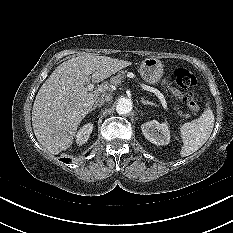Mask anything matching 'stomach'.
Here are the masks:
<instances>
[{"label": "stomach", "mask_w": 233, "mask_h": 233, "mask_svg": "<svg viewBox=\"0 0 233 233\" xmlns=\"http://www.w3.org/2000/svg\"><path fill=\"white\" fill-rule=\"evenodd\" d=\"M163 64L154 57L145 58L139 69L141 77L148 83H157L163 76Z\"/></svg>", "instance_id": "0dacf381"}]
</instances>
